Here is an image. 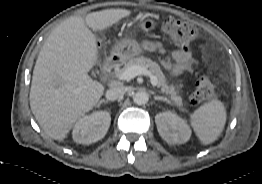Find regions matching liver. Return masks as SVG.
Segmentation results:
<instances>
[{
  "instance_id": "obj_1",
  "label": "liver",
  "mask_w": 262,
  "mask_h": 184,
  "mask_svg": "<svg viewBox=\"0 0 262 184\" xmlns=\"http://www.w3.org/2000/svg\"><path fill=\"white\" fill-rule=\"evenodd\" d=\"M131 14L126 9L72 16L48 36L38 55L30 89V107L38 124L63 141L74 123L96 106L105 87L88 72L98 60L93 31H104Z\"/></svg>"
}]
</instances>
